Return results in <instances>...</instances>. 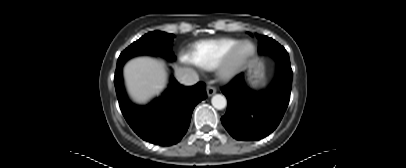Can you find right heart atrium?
<instances>
[{"label":"right heart atrium","mask_w":406,"mask_h":168,"mask_svg":"<svg viewBox=\"0 0 406 168\" xmlns=\"http://www.w3.org/2000/svg\"><path fill=\"white\" fill-rule=\"evenodd\" d=\"M183 62H189L187 57L182 59Z\"/></svg>","instance_id":"1"}]
</instances>
